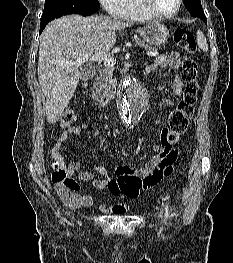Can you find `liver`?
I'll return each instance as SVG.
<instances>
[{
    "instance_id": "6515ba94",
    "label": "liver",
    "mask_w": 233,
    "mask_h": 263,
    "mask_svg": "<svg viewBox=\"0 0 233 263\" xmlns=\"http://www.w3.org/2000/svg\"><path fill=\"white\" fill-rule=\"evenodd\" d=\"M132 25L107 16L80 15L64 16L47 25L40 38L37 71L50 124L68 106L81 77L78 65L65 64L89 53L107 54L116 43V31Z\"/></svg>"
}]
</instances>
